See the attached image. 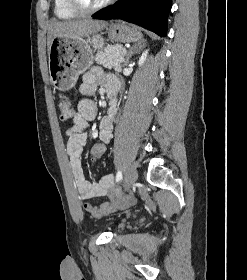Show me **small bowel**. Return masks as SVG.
<instances>
[{
	"label": "small bowel",
	"instance_id": "c3829d8e",
	"mask_svg": "<svg viewBox=\"0 0 247 280\" xmlns=\"http://www.w3.org/2000/svg\"><path fill=\"white\" fill-rule=\"evenodd\" d=\"M104 86L110 93H114L118 87L115 77L106 74L100 68H93L83 76L79 87L82 98L78 101L72 124L66 129L67 154L70 160L72 177L82 200L87 201L98 197H110L111 203H104L99 207L85 204L86 210L92 217H101L117 209L129 207L135 203L132 197L123 196L121 191L114 188L112 174L104 175L98 182L88 181L81 164L82 149L87 142L86 129L89 122L97 115V105L93 99L98 86ZM117 103L112 101L108 114L99 123L98 137L106 145L112 140Z\"/></svg>",
	"mask_w": 247,
	"mask_h": 280
}]
</instances>
